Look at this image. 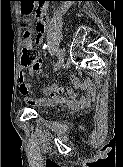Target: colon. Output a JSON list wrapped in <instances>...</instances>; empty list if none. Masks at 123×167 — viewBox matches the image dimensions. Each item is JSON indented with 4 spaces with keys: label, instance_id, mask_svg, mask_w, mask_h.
<instances>
[{
    "label": "colon",
    "instance_id": "obj_1",
    "mask_svg": "<svg viewBox=\"0 0 123 167\" xmlns=\"http://www.w3.org/2000/svg\"><path fill=\"white\" fill-rule=\"evenodd\" d=\"M38 22H37V36L34 38L31 32L26 33V38L23 42V48L21 50V63L24 66H32L33 68H37L40 65L39 52L35 47V43H37L39 35L44 30V24L42 21L41 12L38 13Z\"/></svg>",
    "mask_w": 123,
    "mask_h": 167
}]
</instances>
